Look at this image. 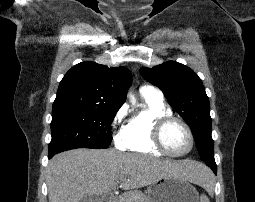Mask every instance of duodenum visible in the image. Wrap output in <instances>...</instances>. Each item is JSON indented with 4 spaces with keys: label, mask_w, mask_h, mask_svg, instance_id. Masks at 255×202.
<instances>
[{
    "label": "duodenum",
    "mask_w": 255,
    "mask_h": 202,
    "mask_svg": "<svg viewBox=\"0 0 255 202\" xmlns=\"http://www.w3.org/2000/svg\"><path fill=\"white\" fill-rule=\"evenodd\" d=\"M99 202H112V197L109 196V195L102 196V197L99 199Z\"/></svg>",
    "instance_id": "1"
}]
</instances>
